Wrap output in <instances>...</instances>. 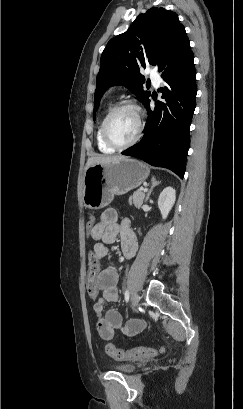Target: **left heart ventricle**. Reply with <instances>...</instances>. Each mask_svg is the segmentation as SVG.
I'll use <instances>...</instances> for the list:
<instances>
[{
	"label": "left heart ventricle",
	"mask_w": 243,
	"mask_h": 409,
	"mask_svg": "<svg viewBox=\"0 0 243 409\" xmlns=\"http://www.w3.org/2000/svg\"><path fill=\"white\" fill-rule=\"evenodd\" d=\"M137 130L136 114L129 108L117 112L109 123L110 136L117 143L130 141L136 135Z\"/></svg>",
	"instance_id": "b2bd125f"
}]
</instances>
